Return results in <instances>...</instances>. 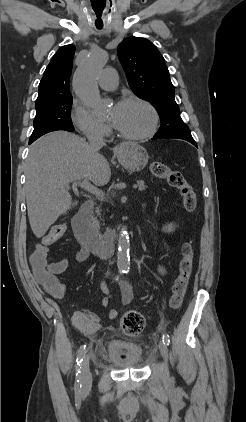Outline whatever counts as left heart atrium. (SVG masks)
I'll list each match as a JSON object with an SVG mask.
<instances>
[{"instance_id":"left-heart-atrium-1","label":"left heart atrium","mask_w":246,"mask_h":422,"mask_svg":"<svg viewBox=\"0 0 246 422\" xmlns=\"http://www.w3.org/2000/svg\"><path fill=\"white\" fill-rule=\"evenodd\" d=\"M112 121H113V124L115 125V120L113 119Z\"/></svg>"}]
</instances>
